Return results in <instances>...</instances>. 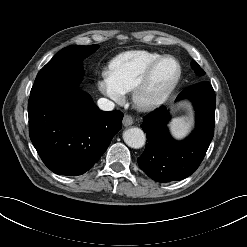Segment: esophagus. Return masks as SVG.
Masks as SVG:
<instances>
[{
	"instance_id": "esophagus-1",
	"label": "esophagus",
	"mask_w": 247,
	"mask_h": 247,
	"mask_svg": "<svg viewBox=\"0 0 247 247\" xmlns=\"http://www.w3.org/2000/svg\"><path fill=\"white\" fill-rule=\"evenodd\" d=\"M133 124V118L130 115H124L123 117V125L128 127Z\"/></svg>"
}]
</instances>
